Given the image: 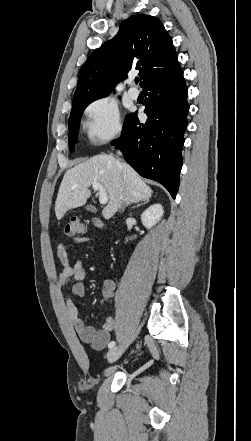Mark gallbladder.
<instances>
[{
    "label": "gallbladder",
    "instance_id": "bac80fb5",
    "mask_svg": "<svg viewBox=\"0 0 251 441\" xmlns=\"http://www.w3.org/2000/svg\"><path fill=\"white\" fill-rule=\"evenodd\" d=\"M86 209H87L88 211H90V212H93V213L96 212V208L93 207L92 205H88V206H86Z\"/></svg>",
    "mask_w": 251,
    "mask_h": 441
}]
</instances>
